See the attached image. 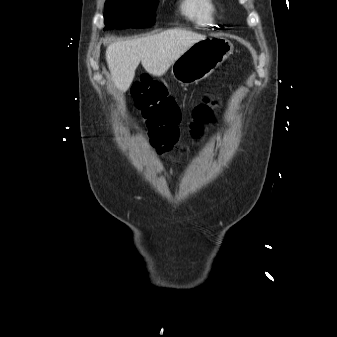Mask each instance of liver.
I'll list each match as a JSON object with an SVG mask.
<instances>
[{
  "instance_id": "obj_1",
  "label": "liver",
  "mask_w": 337,
  "mask_h": 337,
  "mask_svg": "<svg viewBox=\"0 0 337 337\" xmlns=\"http://www.w3.org/2000/svg\"><path fill=\"white\" fill-rule=\"evenodd\" d=\"M203 39V35L175 28L111 43L106 49V61L112 80L118 90L127 91L140 62L148 73L162 76L191 45Z\"/></svg>"
}]
</instances>
